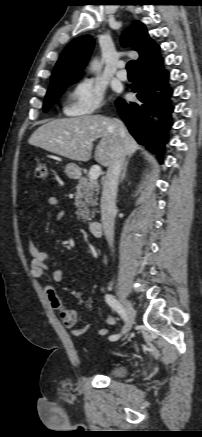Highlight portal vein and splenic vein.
Here are the masks:
<instances>
[{"mask_svg": "<svg viewBox=\"0 0 202 437\" xmlns=\"http://www.w3.org/2000/svg\"><path fill=\"white\" fill-rule=\"evenodd\" d=\"M101 175V167L98 165H94L89 172V178L91 180H97L98 177Z\"/></svg>", "mask_w": 202, "mask_h": 437, "instance_id": "1", "label": "portal vein and splenic vein"}]
</instances>
